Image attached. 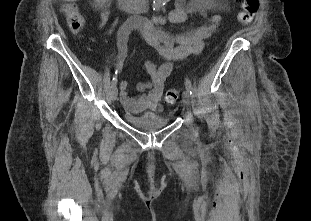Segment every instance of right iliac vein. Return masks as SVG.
Listing matches in <instances>:
<instances>
[{
	"mask_svg": "<svg viewBox=\"0 0 311 221\" xmlns=\"http://www.w3.org/2000/svg\"><path fill=\"white\" fill-rule=\"evenodd\" d=\"M118 96V88L117 86H112L111 92H110V99L112 102L116 101Z\"/></svg>",
	"mask_w": 311,
	"mask_h": 221,
	"instance_id": "1",
	"label": "right iliac vein"
}]
</instances>
